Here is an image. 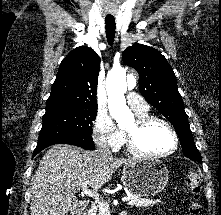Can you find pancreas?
I'll use <instances>...</instances> for the list:
<instances>
[{"label":"pancreas","instance_id":"cf45deb5","mask_svg":"<svg viewBox=\"0 0 221 215\" xmlns=\"http://www.w3.org/2000/svg\"><path fill=\"white\" fill-rule=\"evenodd\" d=\"M159 202L160 200L146 199V198H141L136 195H131V200L128 201L127 204L130 206L142 208V207H150V206L152 207ZM108 209H109V205L107 203L100 202L97 215H110Z\"/></svg>","mask_w":221,"mask_h":215}]
</instances>
